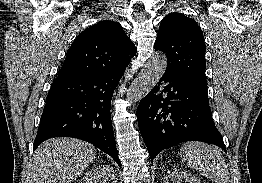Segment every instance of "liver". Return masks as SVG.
I'll list each match as a JSON object with an SVG mask.
<instances>
[{
    "label": "liver",
    "mask_w": 262,
    "mask_h": 183,
    "mask_svg": "<svg viewBox=\"0 0 262 183\" xmlns=\"http://www.w3.org/2000/svg\"><path fill=\"white\" fill-rule=\"evenodd\" d=\"M95 147L76 138H51L34 152L29 183H71L95 159Z\"/></svg>",
    "instance_id": "6515ba94"
}]
</instances>
